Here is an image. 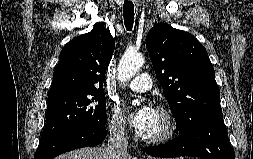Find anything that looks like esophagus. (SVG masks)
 Here are the masks:
<instances>
[{
    "mask_svg": "<svg viewBox=\"0 0 253 159\" xmlns=\"http://www.w3.org/2000/svg\"><path fill=\"white\" fill-rule=\"evenodd\" d=\"M132 2H134V3H136L137 2V0H131Z\"/></svg>",
    "mask_w": 253,
    "mask_h": 159,
    "instance_id": "34e87169",
    "label": "esophagus"
}]
</instances>
